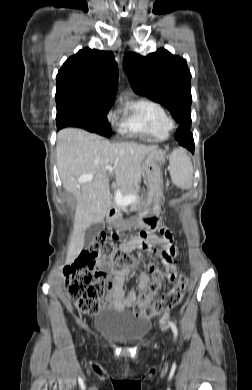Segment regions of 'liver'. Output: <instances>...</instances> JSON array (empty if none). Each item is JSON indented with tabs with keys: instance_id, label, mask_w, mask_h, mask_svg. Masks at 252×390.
Here are the masks:
<instances>
[{
	"instance_id": "6515ba94",
	"label": "liver",
	"mask_w": 252,
	"mask_h": 390,
	"mask_svg": "<svg viewBox=\"0 0 252 390\" xmlns=\"http://www.w3.org/2000/svg\"><path fill=\"white\" fill-rule=\"evenodd\" d=\"M155 146L135 143H111L105 138L78 128H65L57 135V164L63 188L77 200L74 231L68 245L66 263H72L83 250L85 230L102 222L112 201L108 177L126 193H135L134 185L143 175L142 162ZM161 152V151H160ZM111 166V170L105 167ZM93 179L80 183L82 175Z\"/></svg>"
}]
</instances>
